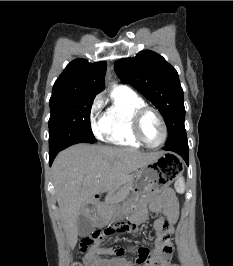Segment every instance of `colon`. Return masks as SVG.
Instances as JSON below:
<instances>
[{
  "label": "colon",
  "instance_id": "obj_1",
  "mask_svg": "<svg viewBox=\"0 0 233 266\" xmlns=\"http://www.w3.org/2000/svg\"><path fill=\"white\" fill-rule=\"evenodd\" d=\"M136 229V225L132 222H128L125 225H118L116 228H106L102 231H97L91 236L85 237L81 244L80 249L81 251L85 252L87 251L92 245L94 244H100L102 243L108 236L118 232H131ZM125 248L123 247H116L114 248V252L117 256H121L125 253ZM75 266H79V264H76ZM176 266V265H174Z\"/></svg>",
  "mask_w": 233,
  "mask_h": 266
}]
</instances>
